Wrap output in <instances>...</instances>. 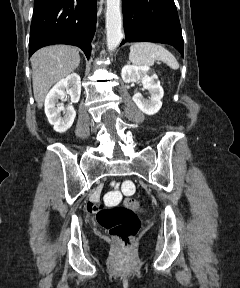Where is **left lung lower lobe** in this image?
Wrapping results in <instances>:
<instances>
[{
    "mask_svg": "<svg viewBox=\"0 0 240 288\" xmlns=\"http://www.w3.org/2000/svg\"><path fill=\"white\" fill-rule=\"evenodd\" d=\"M126 42H158L183 56V38L174 0H122ZM120 45V46H121Z\"/></svg>",
    "mask_w": 240,
    "mask_h": 288,
    "instance_id": "obj_1",
    "label": "left lung lower lobe"
}]
</instances>
